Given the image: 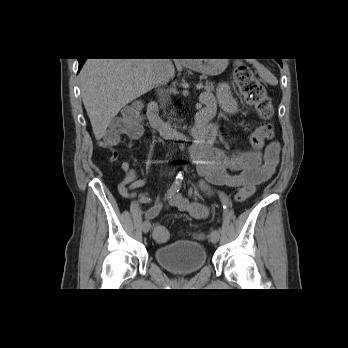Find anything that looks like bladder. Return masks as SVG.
Segmentation results:
<instances>
[{"label": "bladder", "mask_w": 348, "mask_h": 348, "mask_svg": "<svg viewBox=\"0 0 348 348\" xmlns=\"http://www.w3.org/2000/svg\"><path fill=\"white\" fill-rule=\"evenodd\" d=\"M157 262L177 275L195 273L207 261L205 248L193 241H176L155 249Z\"/></svg>", "instance_id": "bladder-1"}]
</instances>
